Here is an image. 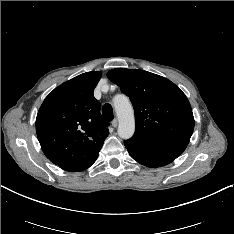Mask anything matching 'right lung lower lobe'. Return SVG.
<instances>
[{"mask_svg": "<svg viewBox=\"0 0 234 234\" xmlns=\"http://www.w3.org/2000/svg\"><path fill=\"white\" fill-rule=\"evenodd\" d=\"M99 151H100V149L98 151H96L94 154H92L91 156H89L88 158H86L85 160L78 162L76 164H73V165L62 167V169L66 170V171H71V172L85 170L95 162V160L98 157Z\"/></svg>", "mask_w": 234, "mask_h": 234, "instance_id": "right-lung-lower-lobe-1", "label": "right lung lower lobe"}]
</instances>
